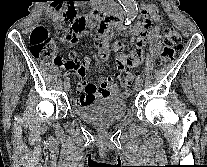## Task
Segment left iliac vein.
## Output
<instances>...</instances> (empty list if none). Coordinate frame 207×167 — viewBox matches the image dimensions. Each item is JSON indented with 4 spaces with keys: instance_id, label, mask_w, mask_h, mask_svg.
I'll list each match as a JSON object with an SVG mask.
<instances>
[{
    "instance_id": "obj_1",
    "label": "left iliac vein",
    "mask_w": 207,
    "mask_h": 167,
    "mask_svg": "<svg viewBox=\"0 0 207 167\" xmlns=\"http://www.w3.org/2000/svg\"><path fill=\"white\" fill-rule=\"evenodd\" d=\"M141 89H142V82L141 81H136L135 90L140 91Z\"/></svg>"
}]
</instances>
